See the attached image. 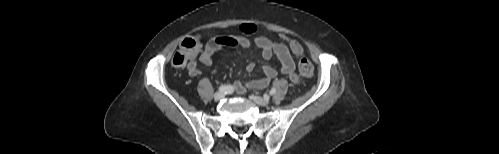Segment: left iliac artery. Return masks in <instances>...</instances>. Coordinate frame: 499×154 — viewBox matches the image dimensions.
Returning <instances> with one entry per match:
<instances>
[{"label": "left iliac artery", "instance_id": "left-iliac-artery-1", "mask_svg": "<svg viewBox=\"0 0 499 154\" xmlns=\"http://www.w3.org/2000/svg\"><path fill=\"white\" fill-rule=\"evenodd\" d=\"M276 93V89L275 88H272L269 92L270 95H274Z\"/></svg>", "mask_w": 499, "mask_h": 154}]
</instances>
